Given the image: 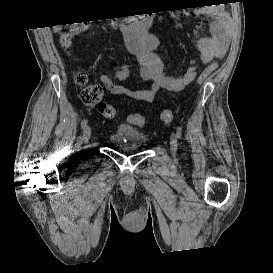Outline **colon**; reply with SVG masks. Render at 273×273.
Returning <instances> with one entry per match:
<instances>
[{
  "label": "colon",
  "mask_w": 273,
  "mask_h": 273,
  "mask_svg": "<svg viewBox=\"0 0 273 273\" xmlns=\"http://www.w3.org/2000/svg\"><path fill=\"white\" fill-rule=\"evenodd\" d=\"M86 23L75 22L70 25L69 30L62 33L60 43L63 48L68 49L71 46L73 37L84 27ZM215 63L210 64L199 76L198 83L204 82L214 71ZM76 83L81 87L80 97L84 104L88 106H97L98 111L108 119L115 118L117 115L116 109L113 105L101 102L102 89L99 85L91 84L85 74L79 73L75 78ZM173 119V114L170 110L165 109L160 114V120L163 123H170ZM128 120L135 125L143 126L146 119L141 114H132Z\"/></svg>",
  "instance_id": "1"
}]
</instances>
